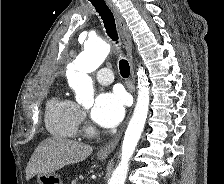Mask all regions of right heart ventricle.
<instances>
[{
  "instance_id": "right-heart-ventricle-1",
  "label": "right heart ventricle",
  "mask_w": 224,
  "mask_h": 184,
  "mask_svg": "<svg viewBox=\"0 0 224 184\" xmlns=\"http://www.w3.org/2000/svg\"><path fill=\"white\" fill-rule=\"evenodd\" d=\"M80 122V109L74 101L63 95L48 101L45 123L52 135L73 138L78 133Z\"/></svg>"
}]
</instances>
